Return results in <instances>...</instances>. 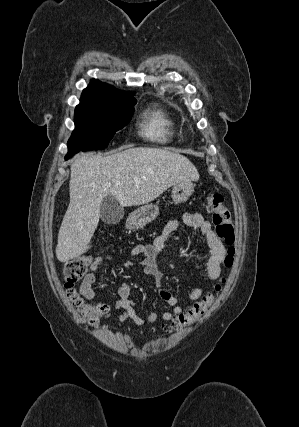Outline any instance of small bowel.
I'll use <instances>...</instances> for the list:
<instances>
[{
    "mask_svg": "<svg viewBox=\"0 0 299 427\" xmlns=\"http://www.w3.org/2000/svg\"><path fill=\"white\" fill-rule=\"evenodd\" d=\"M181 221L189 227L199 229L202 235L205 237L210 248V255L205 263V273L209 280L218 279L221 274V264L224 261L226 249L213 231L211 223L205 220L203 215L198 212L184 213ZM179 224V220H171L163 227L161 232L151 243H140L135 245L131 251V254L134 257H140V260H129L125 262L124 266L126 268H131L135 265L140 266L142 272L151 276L154 279L156 287L160 288L162 281V271L158 258L164 250L168 239L177 230ZM105 259H110V257H96L91 264L90 272L84 277L81 283L80 293L86 300H95L97 298L96 292L93 288L97 281H99L101 285H107V282L104 279L97 276V272ZM159 293L161 298L171 306V310L163 312L161 314V318L164 321H171L182 311L180 306V299L169 291L163 289H160ZM202 294V288L195 287L191 290L189 299L193 302L197 301L202 296ZM130 295L131 286L127 283L121 284L118 288V300L115 304L116 309L120 312L117 316V320L120 322L132 320L139 326L146 323H156L159 319V315L156 312L148 313L146 318L139 317L136 314L134 303L131 300Z\"/></svg>",
    "mask_w": 299,
    "mask_h": 427,
    "instance_id": "obj_1",
    "label": "small bowel"
}]
</instances>
